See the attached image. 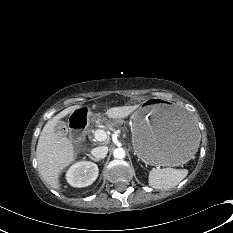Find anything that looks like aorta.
<instances>
[{
    "instance_id": "1",
    "label": "aorta",
    "mask_w": 233,
    "mask_h": 233,
    "mask_svg": "<svg viewBox=\"0 0 233 233\" xmlns=\"http://www.w3.org/2000/svg\"><path fill=\"white\" fill-rule=\"evenodd\" d=\"M113 156L116 159H123L125 157V150L123 148H116L113 152Z\"/></svg>"
}]
</instances>
